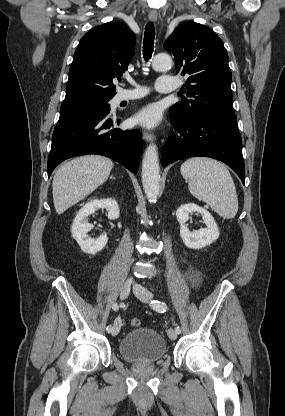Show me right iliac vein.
I'll list each match as a JSON object with an SVG mask.
<instances>
[{
    "label": "right iliac vein",
    "instance_id": "1",
    "mask_svg": "<svg viewBox=\"0 0 285 416\" xmlns=\"http://www.w3.org/2000/svg\"><path fill=\"white\" fill-rule=\"evenodd\" d=\"M130 288H131V282L130 281H126L122 284L121 290H120V298L122 300L127 298V296L129 295V292H130ZM120 328H121V320L119 318H117L114 321V324H113V328H112V331H111L112 335L116 336L119 333Z\"/></svg>",
    "mask_w": 285,
    "mask_h": 416
}]
</instances>
